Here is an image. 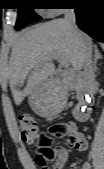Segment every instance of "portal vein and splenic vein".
I'll list each match as a JSON object with an SVG mask.
<instances>
[{"label": "portal vein and splenic vein", "mask_w": 104, "mask_h": 169, "mask_svg": "<svg viewBox=\"0 0 104 169\" xmlns=\"http://www.w3.org/2000/svg\"><path fill=\"white\" fill-rule=\"evenodd\" d=\"M52 59L58 60L63 67L69 66V61L61 55H56V56L52 57Z\"/></svg>", "instance_id": "portal-vein-and-splenic-vein-1"}]
</instances>
